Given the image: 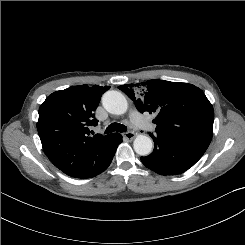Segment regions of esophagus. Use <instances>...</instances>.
I'll list each match as a JSON object with an SVG mask.
<instances>
[{
  "label": "esophagus",
  "instance_id": "obj_1",
  "mask_svg": "<svg viewBox=\"0 0 245 245\" xmlns=\"http://www.w3.org/2000/svg\"><path fill=\"white\" fill-rule=\"evenodd\" d=\"M123 137L128 140H132L135 137V133L132 131H127L123 134Z\"/></svg>",
  "mask_w": 245,
  "mask_h": 245
}]
</instances>
